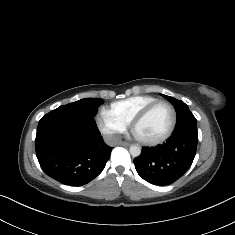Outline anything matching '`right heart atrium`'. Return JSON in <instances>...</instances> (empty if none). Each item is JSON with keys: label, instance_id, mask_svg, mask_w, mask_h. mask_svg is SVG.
Returning <instances> with one entry per match:
<instances>
[{"label": "right heart atrium", "instance_id": "right-heart-atrium-1", "mask_svg": "<svg viewBox=\"0 0 235 235\" xmlns=\"http://www.w3.org/2000/svg\"><path fill=\"white\" fill-rule=\"evenodd\" d=\"M95 121L101 132L106 134L112 142H118L119 137L126 130V125L116 118L105 106H100Z\"/></svg>", "mask_w": 235, "mask_h": 235}]
</instances>
